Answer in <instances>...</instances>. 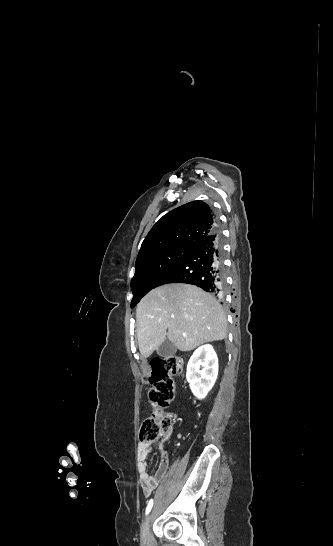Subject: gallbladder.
I'll list each match as a JSON object with an SVG mask.
<instances>
[{
	"label": "gallbladder",
	"mask_w": 333,
	"mask_h": 546,
	"mask_svg": "<svg viewBox=\"0 0 333 546\" xmlns=\"http://www.w3.org/2000/svg\"><path fill=\"white\" fill-rule=\"evenodd\" d=\"M177 351L176 346L170 342L165 341L158 349H157V355L159 357L168 358L173 356Z\"/></svg>",
	"instance_id": "gallbladder-1"
}]
</instances>
